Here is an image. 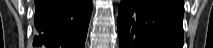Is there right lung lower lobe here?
I'll return each mask as SVG.
<instances>
[{
  "label": "right lung lower lobe",
  "mask_w": 213,
  "mask_h": 48,
  "mask_svg": "<svg viewBox=\"0 0 213 48\" xmlns=\"http://www.w3.org/2000/svg\"><path fill=\"white\" fill-rule=\"evenodd\" d=\"M34 46L84 48L92 0H35Z\"/></svg>",
  "instance_id": "obj_1"
}]
</instances>
